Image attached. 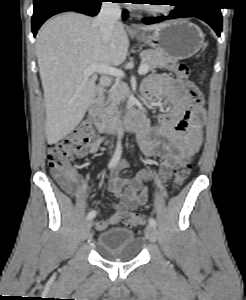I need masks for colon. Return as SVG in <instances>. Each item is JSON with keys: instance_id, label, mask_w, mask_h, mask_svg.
<instances>
[{"instance_id": "obj_1", "label": "colon", "mask_w": 246, "mask_h": 300, "mask_svg": "<svg viewBox=\"0 0 246 300\" xmlns=\"http://www.w3.org/2000/svg\"><path fill=\"white\" fill-rule=\"evenodd\" d=\"M175 75L188 86V93L197 115H200L202 108V95L198 87L188 81L189 68L186 64L177 63L172 66ZM94 127L91 121H82L64 140L51 144L47 152L48 166L54 175L62 178H73L76 170L72 165V159L82 153L91 136ZM191 164L189 162L180 163L173 177V189H178L189 177ZM122 221L126 226L139 227L144 224L142 216L136 213H126L122 216Z\"/></svg>"}]
</instances>
